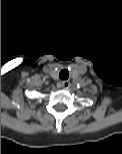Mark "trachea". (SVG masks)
<instances>
[{"mask_svg": "<svg viewBox=\"0 0 122 154\" xmlns=\"http://www.w3.org/2000/svg\"><path fill=\"white\" fill-rule=\"evenodd\" d=\"M68 77H69V72H68L67 69H63V70L60 71V73H59V78H60L61 80H67Z\"/></svg>", "mask_w": 122, "mask_h": 154, "instance_id": "trachea-1", "label": "trachea"}]
</instances>
